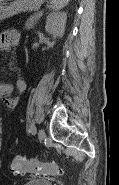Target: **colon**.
<instances>
[{"instance_id":"1","label":"colon","mask_w":119,"mask_h":185,"mask_svg":"<svg viewBox=\"0 0 119 185\" xmlns=\"http://www.w3.org/2000/svg\"><path fill=\"white\" fill-rule=\"evenodd\" d=\"M11 171L15 173H30L44 177H53L61 173L60 167L53 162H41L35 159H24L15 156L10 164Z\"/></svg>"}]
</instances>
